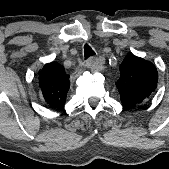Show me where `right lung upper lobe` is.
I'll return each mask as SVG.
<instances>
[{
  "mask_svg": "<svg viewBox=\"0 0 169 169\" xmlns=\"http://www.w3.org/2000/svg\"><path fill=\"white\" fill-rule=\"evenodd\" d=\"M41 82L46 101L55 107L63 105L70 86L64 68L57 63L45 65Z\"/></svg>",
  "mask_w": 169,
  "mask_h": 169,
  "instance_id": "right-lung-upper-lobe-1",
  "label": "right lung upper lobe"
}]
</instances>
